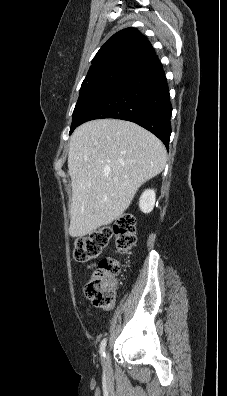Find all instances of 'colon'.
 I'll use <instances>...</instances> for the list:
<instances>
[{"mask_svg":"<svg viewBox=\"0 0 227 396\" xmlns=\"http://www.w3.org/2000/svg\"><path fill=\"white\" fill-rule=\"evenodd\" d=\"M115 238L116 249L120 253L129 252L136 242L135 220L131 215L121 216L112 228L104 227L87 237L76 241L74 257L86 262L98 257ZM120 272V264L114 257H106L99 263L85 285V294L90 301L104 310H110L115 304V281Z\"/></svg>","mask_w":227,"mask_h":396,"instance_id":"1","label":"colon"}]
</instances>
